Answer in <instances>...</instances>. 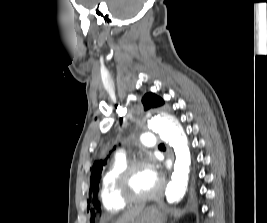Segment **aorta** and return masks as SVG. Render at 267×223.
<instances>
[{"instance_id": "obj_1", "label": "aorta", "mask_w": 267, "mask_h": 223, "mask_svg": "<svg viewBox=\"0 0 267 223\" xmlns=\"http://www.w3.org/2000/svg\"><path fill=\"white\" fill-rule=\"evenodd\" d=\"M148 127L174 150V171L166 187L165 196L169 204L179 202L186 191L191 164L190 150L183 128L175 117L167 114L152 116L148 121Z\"/></svg>"}]
</instances>
